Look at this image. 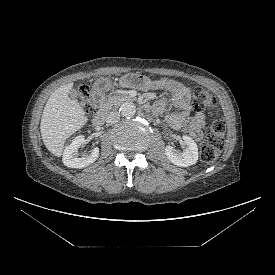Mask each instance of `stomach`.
<instances>
[{"label": "stomach", "mask_w": 275, "mask_h": 275, "mask_svg": "<svg viewBox=\"0 0 275 275\" xmlns=\"http://www.w3.org/2000/svg\"><path fill=\"white\" fill-rule=\"evenodd\" d=\"M111 87V82L107 78H99L94 82V92L96 94H102L107 92Z\"/></svg>", "instance_id": "stomach-1"}]
</instances>
